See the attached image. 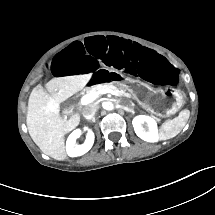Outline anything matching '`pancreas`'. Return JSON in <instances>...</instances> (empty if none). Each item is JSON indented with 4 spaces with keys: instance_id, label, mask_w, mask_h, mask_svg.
Instances as JSON below:
<instances>
[{
    "instance_id": "pancreas-1",
    "label": "pancreas",
    "mask_w": 215,
    "mask_h": 215,
    "mask_svg": "<svg viewBox=\"0 0 215 215\" xmlns=\"http://www.w3.org/2000/svg\"><path fill=\"white\" fill-rule=\"evenodd\" d=\"M104 86H113L115 90L121 91L118 87L114 86L112 83H105V84H98V85H94V86H91V87H87V88H85V92L87 94L94 93V92H97V91L103 89ZM156 119L159 121L158 118H156Z\"/></svg>"
}]
</instances>
